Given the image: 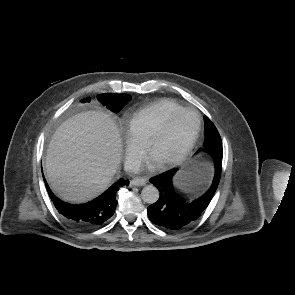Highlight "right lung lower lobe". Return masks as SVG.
I'll use <instances>...</instances> for the list:
<instances>
[{
	"instance_id": "right-lung-lower-lobe-1",
	"label": "right lung lower lobe",
	"mask_w": 295,
	"mask_h": 295,
	"mask_svg": "<svg viewBox=\"0 0 295 295\" xmlns=\"http://www.w3.org/2000/svg\"><path fill=\"white\" fill-rule=\"evenodd\" d=\"M128 184V180L120 179L101 196L81 205L64 203L53 195L48 185L46 188L56 209L69 223L80 229H91L103 224L114 214L117 206L116 192Z\"/></svg>"
}]
</instances>
